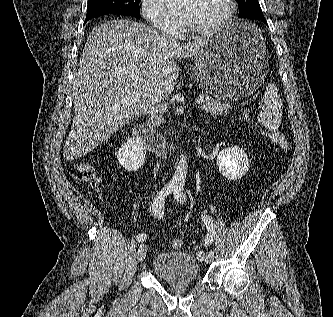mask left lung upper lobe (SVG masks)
Listing matches in <instances>:
<instances>
[{"instance_id":"obj_1","label":"left lung upper lobe","mask_w":333,"mask_h":317,"mask_svg":"<svg viewBox=\"0 0 333 317\" xmlns=\"http://www.w3.org/2000/svg\"><path fill=\"white\" fill-rule=\"evenodd\" d=\"M239 6V18L250 19L263 15L258 0H236Z\"/></svg>"}]
</instances>
